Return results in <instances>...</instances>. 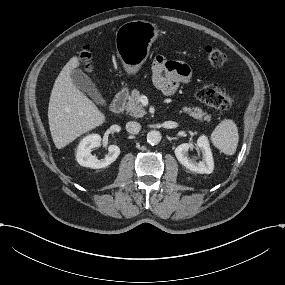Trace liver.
Listing matches in <instances>:
<instances>
[{"label":"liver","mask_w":285,"mask_h":285,"mask_svg":"<svg viewBox=\"0 0 285 285\" xmlns=\"http://www.w3.org/2000/svg\"><path fill=\"white\" fill-rule=\"evenodd\" d=\"M80 66L81 58L73 55L58 75L50 96L49 126L58 150L107 121L106 114L75 85L72 73Z\"/></svg>","instance_id":"obj_1"}]
</instances>
